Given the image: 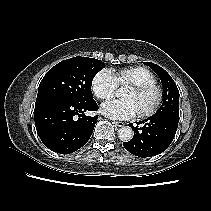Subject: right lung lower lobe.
<instances>
[{
	"label": "right lung lower lobe",
	"instance_id": "1",
	"mask_svg": "<svg viewBox=\"0 0 211 211\" xmlns=\"http://www.w3.org/2000/svg\"><path fill=\"white\" fill-rule=\"evenodd\" d=\"M95 100L75 103L45 100L35 103V126L43 144L50 150L69 154L80 149L90 138L98 116L85 115L96 111Z\"/></svg>",
	"mask_w": 211,
	"mask_h": 211
}]
</instances>
